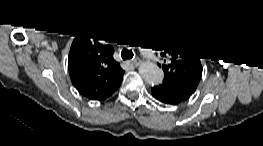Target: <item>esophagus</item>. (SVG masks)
Listing matches in <instances>:
<instances>
[{
    "instance_id": "esophagus-1",
    "label": "esophagus",
    "mask_w": 263,
    "mask_h": 146,
    "mask_svg": "<svg viewBox=\"0 0 263 146\" xmlns=\"http://www.w3.org/2000/svg\"><path fill=\"white\" fill-rule=\"evenodd\" d=\"M141 63V60L139 58H135L132 60V65L137 67Z\"/></svg>"
}]
</instances>
